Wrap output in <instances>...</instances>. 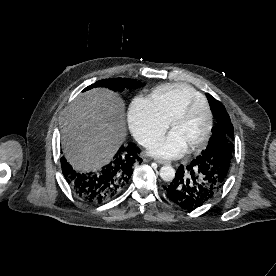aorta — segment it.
Instances as JSON below:
<instances>
[{
    "label": "aorta",
    "mask_w": 276,
    "mask_h": 276,
    "mask_svg": "<svg viewBox=\"0 0 276 276\" xmlns=\"http://www.w3.org/2000/svg\"><path fill=\"white\" fill-rule=\"evenodd\" d=\"M160 177L162 180L169 182L175 178V170L172 166H163L160 169Z\"/></svg>",
    "instance_id": "1"
}]
</instances>
